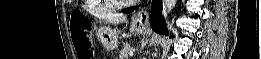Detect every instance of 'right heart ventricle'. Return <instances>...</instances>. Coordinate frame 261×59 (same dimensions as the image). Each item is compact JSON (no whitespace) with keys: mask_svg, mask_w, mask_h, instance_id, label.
<instances>
[{"mask_svg":"<svg viewBox=\"0 0 261 59\" xmlns=\"http://www.w3.org/2000/svg\"><path fill=\"white\" fill-rule=\"evenodd\" d=\"M93 1V0H92ZM107 9H111V7L109 6V7H107Z\"/></svg>","mask_w":261,"mask_h":59,"instance_id":"right-heart-ventricle-1","label":"right heart ventricle"}]
</instances>
